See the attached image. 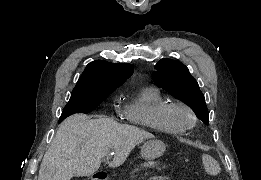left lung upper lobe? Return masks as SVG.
Masks as SVG:
<instances>
[{"label": "left lung upper lobe", "mask_w": 261, "mask_h": 180, "mask_svg": "<svg viewBox=\"0 0 261 180\" xmlns=\"http://www.w3.org/2000/svg\"><path fill=\"white\" fill-rule=\"evenodd\" d=\"M153 81L158 87L190 106L204 123L209 122L204 95L184 64L168 58L161 59L155 66Z\"/></svg>", "instance_id": "1"}]
</instances>
